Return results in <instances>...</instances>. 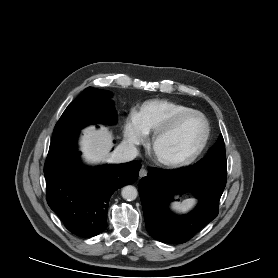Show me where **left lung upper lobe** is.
Returning <instances> with one entry per match:
<instances>
[{"instance_id":"5c2ea615","label":"left lung upper lobe","mask_w":278,"mask_h":278,"mask_svg":"<svg viewBox=\"0 0 278 278\" xmlns=\"http://www.w3.org/2000/svg\"><path fill=\"white\" fill-rule=\"evenodd\" d=\"M193 166L199 169L227 174L225 145L222 135H219L216 143L208 150L206 156Z\"/></svg>"}]
</instances>
